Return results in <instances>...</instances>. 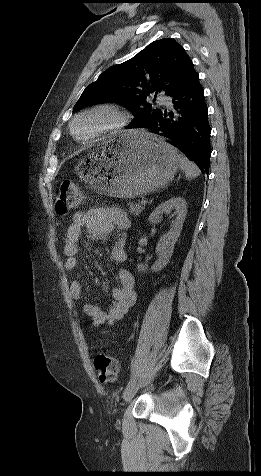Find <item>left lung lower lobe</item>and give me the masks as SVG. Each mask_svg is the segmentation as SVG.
Wrapping results in <instances>:
<instances>
[{"instance_id":"left-lung-lower-lobe-1","label":"left lung lower lobe","mask_w":261,"mask_h":476,"mask_svg":"<svg viewBox=\"0 0 261 476\" xmlns=\"http://www.w3.org/2000/svg\"><path fill=\"white\" fill-rule=\"evenodd\" d=\"M171 106L161 110L156 118L142 128L156 130L166 142L183 152L208 174L210 167L211 128L203 88L194 67L173 94Z\"/></svg>"}]
</instances>
